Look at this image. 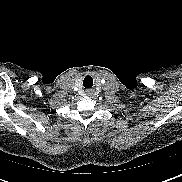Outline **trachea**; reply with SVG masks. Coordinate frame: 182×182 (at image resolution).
Masks as SVG:
<instances>
[{
  "label": "trachea",
  "instance_id": "1",
  "mask_svg": "<svg viewBox=\"0 0 182 182\" xmlns=\"http://www.w3.org/2000/svg\"><path fill=\"white\" fill-rule=\"evenodd\" d=\"M89 77L87 76L85 79H84V81L86 82V80L88 79Z\"/></svg>",
  "mask_w": 182,
  "mask_h": 182
}]
</instances>
